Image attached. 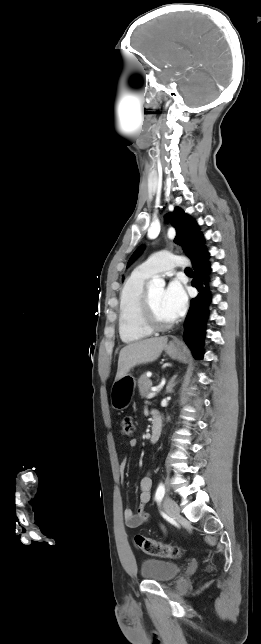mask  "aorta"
I'll return each instance as SVG.
<instances>
[{
  "label": "aorta",
  "mask_w": 261,
  "mask_h": 644,
  "mask_svg": "<svg viewBox=\"0 0 261 644\" xmlns=\"http://www.w3.org/2000/svg\"><path fill=\"white\" fill-rule=\"evenodd\" d=\"M164 286H165L164 279H162V278H160L158 276L153 277V279L150 280V282H149V288L164 287Z\"/></svg>",
  "instance_id": "762f6f07"
}]
</instances>
